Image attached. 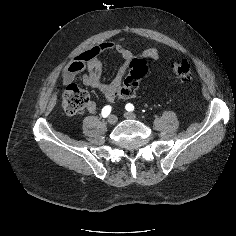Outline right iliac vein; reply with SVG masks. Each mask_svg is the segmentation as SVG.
I'll list each match as a JSON object with an SVG mask.
<instances>
[{"label":"right iliac vein","mask_w":236,"mask_h":236,"mask_svg":"<svg viewBox=\"0 0 236 236\" xmlns=\"http://www.w3.org/2000/svg\"><path fill=\"white\" fill-rule=\"evenodd\" d=\"M116 122H117V117L115 115H110L108 118V123L114 125L116 124Z\"/></svg>","instance_id":"obj_1"}]
</instances>
